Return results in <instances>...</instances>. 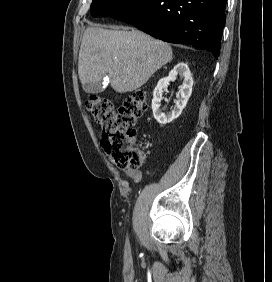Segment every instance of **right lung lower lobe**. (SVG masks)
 Listing matches in <instances>:
<instances>
[{
  "instance_id": "right-lung-lower-lobe-1",
  "label": "right lung lower lobe",
  "mask_w": 272,
  "mask_h": 282,
  "mask_svg": "<svg viewBox=\"0 0 272 282\" xmlns=\"http://www.w3.org/2000/svg\"><path fill=\"white\" fill-rule=\"evenodd\" d=\"M227 0H137L111 17L170 43H187L217 58Z\"/></svg>"
}]
</instances>
